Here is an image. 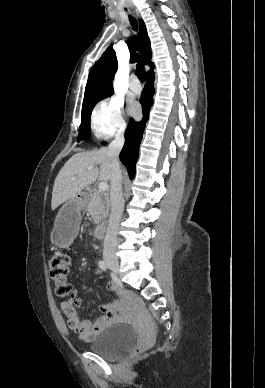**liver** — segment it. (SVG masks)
I'll return each instance as SVG.
<instances>
[{
  "mask_svg": "<svg viewBox=\"0 0 265 388\" xmlns=\"http://www.w3.org/2000/svg\"><path fill=\"white\" fill-rule=\"evenodd\" d=\"M108 148L93 150V152H81L74 154L62 170H60L53 186L51 208L56 210L58 206L76 198L84 188L101 180L109 182L111 178V162L107 156ZM89 166H100L94 170H88ZM76 178V180H72Z\"/></svg>",
  "mask_w": 265,
  "mask_h": 388,
  "instance_id": "1",
  "label": "liver"
}]
</instances>
